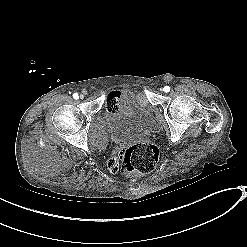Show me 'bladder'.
I'll list each match as a JSON object with an SVG mask.
<instances>
[{"label":"bladder","mask_w":247,"mask_h":247,"mask_svg":"<svg viewBox=\"0 0 247 247\" xmlns=\"http://www.w3.org/2000/svg\"><path fill=\"white\" fill-rule=\"evenodd\" d=\"M106 113L117 133V143L142 141L157 130L154 108L145 103L142 94L119 93Z\"/></svg>","instance_id":"31cf9c89"}]
</instances>
